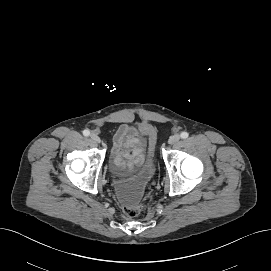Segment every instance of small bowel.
<instances>
[{
	"label": "small bowel",
	"instance_id": "obj_1",
	"mask_svg": "<svg viewBox=\"0 0 271 271\" xmlns=\"http://www.w3.org/2000/svg\"><path fill=\"white\" fill-rule=\"evenodd\" d=\"M145 135L153 139V131L149 127L140 130L129 124H122L113 139L112 170L115 174L129 173L145 162L147 141Z\"/></svg>",
	"mask_w": 271,
	"mask_h": 271
}]
</instances>
